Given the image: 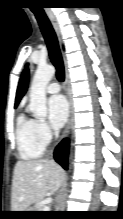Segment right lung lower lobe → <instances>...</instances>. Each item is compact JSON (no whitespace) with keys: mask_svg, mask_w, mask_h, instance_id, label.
I'll return each mask as SVG.
<instances>
[{"mask_svg":"<svg viewBox=\"0 0 123 219\" xmlns=\"http://www.w3.org/2000/svg\"><path fill=\"white\" fill-rule=\"evenodd\" d=\"M69 140L64 139L55 150V160L64 168L67 169Z\"/></svg>","mask_w":123,"mask_h":219,"instance_id":"1","label":"right lung lower lobe"}]
</instances>
